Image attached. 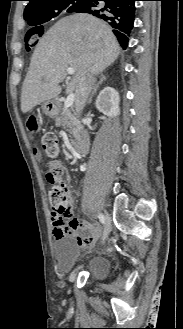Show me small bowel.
I'll list each match as a JSON object with an SVG mask.
<instances>
[{"label": "small bowel", "instance_id": "small-bowel-1", "mask_svg": "<svg viewBox=\"0 0 183 329\" xmlns=\"http://www.w3.org/2000/svg\"><path fill=\"white\" fill-rule=\"evenodd\" d=\"M54 169L61 170L64 174V168L59 161L52 162ZM53 236L56 240L64 236H75L80 250H88L94 243V239L100 234L101 230L97 226L89 225L82 219L74 218L71 213L65 220L61 221L59 217L52 215ZM82 231L86 234H76V231Z\"/></svg>", "mask_w": 183, "mask_h": 329}]
</instances>
